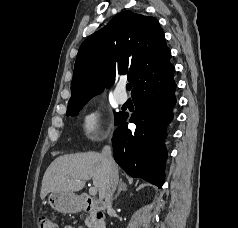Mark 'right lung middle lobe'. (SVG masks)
Returning a JSON list of instances; mask_svg holds the SVG:
<instances>
[{
	"label": "right lung middle lobe",
	"mask_w": 238,
	"mask_h": 228,
	"mask_svg": "<svg viewBox=\"0 0 238 228\" xmlns=\"http://www.w3.org/2000/svg\"><path fill=\"white\" fill-rule=\"evenodd\" d=\"M82 107H83L82 104H69L67 108V115L76 116ZM114 115H115V121H116L120 113H115Z\"/></svg>",
	"instance_id": "1"
}]
</instances>
